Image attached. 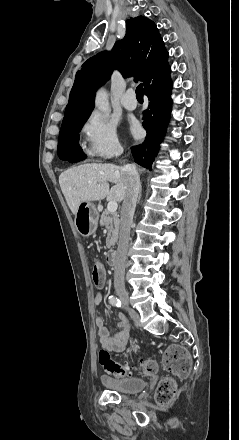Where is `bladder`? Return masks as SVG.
I'll return each instance as SVG.
<instances>
[{
  "mask_svg": "<svg viewBox=\"0 0 239 440\" xmlns=\"http://www.w3.org/2000/svg\"><path fill=\"white\" fill-rule=\"evenodd\" d=\"M102 384L109 390L118 393L134 394L146 387V381L137 377H111L102 375Z\"/></svg>",
  "mask_w": 239,
  "mask_h": 440,
  "instance_id": "1",
  "label": "bladder"
}]
</instances>
